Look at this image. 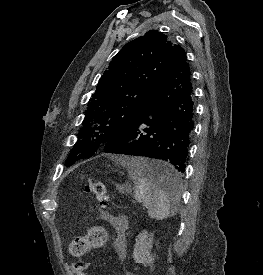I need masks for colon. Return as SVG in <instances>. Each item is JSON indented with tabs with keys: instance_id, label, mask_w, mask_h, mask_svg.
I'll return each mask as SVG.
<instances>
[{
	"instance_id": "colon-1",
	"label": "colon",
	"mask_w": 263,
	"mask_h": 275,
	"mask_svg": "<svg viewBox=\"0 0 263 275\" xmlns=\"http://www.w3.org/2000/svg\"><path fill=\"white\" fill-rule=\"evenodd\" d=\"M84 191L88 195L94 196L101 205L106 204V188L103 182L97 179H89ZM109 240L108 231L104 227H94L85 235L75 237L69 246L70 253L73 256H83L90 249L104 246ZM89 264L85 261L75 262L73 265L75 275H86ZM124 275H135L133 272H127Z\"/></svg>"
}]
</instances>
